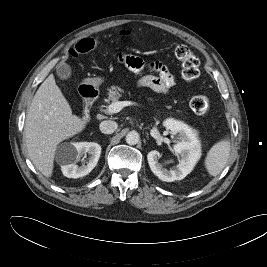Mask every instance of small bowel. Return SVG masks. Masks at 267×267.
Listing matches in <instances>:
<instances>
[{"label":"small bowel","mask_w":267,"mask_h":267,"mask_svg":"<svg viewBox=\"0 0 267 267\" xmlns=\"http://www.w3.org/2000/svg\"><path fill=\"white\" fill-rule=\"evenodd\" d=\"M116 59L134 73H140L147 67L157 73V75L141 77L137 83L141 88H150L157 93H167L176 85L175 76L161 62L154 61L147 64L138 56L126 54H118Z\"/></svg>","instance_id":"obj_1"}]
</instances>
